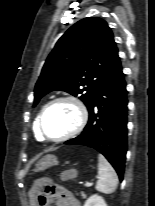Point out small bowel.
<instances>
[{
    "label": "small bowel",
    "mask_w": 155,
    "mask_h": 206,
    "mask_svg": "<svg viewBox=\"0 0 155 206\" xmlns=\"http://www.w3.org/2000/svg\"><path fill=\"white\" fill-rule=\"evenodd\" d=\"M31 195L34 196L32 193ZM51 197L56 206H81L78 199L69 190L61 186L54 185Z\"/></svg>",
    "instance_id": "small-bowel-1"
}]
</instances>
